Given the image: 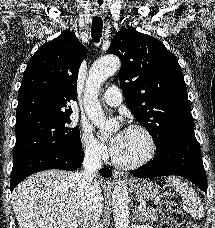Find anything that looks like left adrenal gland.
<instances>
[{
	"label": "left adrenal gland",
	"instance_id": "1",
	"mask_svg": "<svg viewBox=\"0 0 215 228\" xmlns=\"http://www.w3.org/2000/svg\"><path fill=\"white\" fill-rule=\"evenodd\" d=\"M134 216H135V218H137L138 222H146V220H144L141 212H139V210H137V208H135Z\"/></svg>",
	"mask_w": 215,
	"mask_h": 228
}]
</instances>
